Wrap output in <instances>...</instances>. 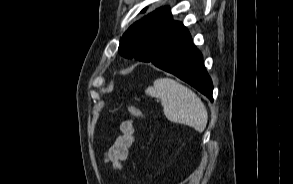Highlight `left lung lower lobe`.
Here are the masks:
<instances>
[{"instance_id":"left-lung-lower-lobe-1","label":"left lung lower lobe","mask_w":293,"mask_h":184,"mask_svg":"<svg viewBox=\"0 0 293 184\" xmlns=\"http://www.w3.org/2000/svg\"><path fill=\"white\" fill-rule=\"evenodd\" d=\"M147 50L152 56L144 62H152L172 73L213 101V85L204 67L202 54L181 22L171 19L163 32L151 39Z\"/></svg>"}]
</instances>
